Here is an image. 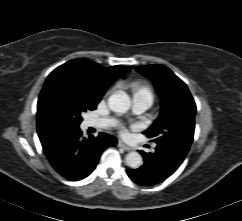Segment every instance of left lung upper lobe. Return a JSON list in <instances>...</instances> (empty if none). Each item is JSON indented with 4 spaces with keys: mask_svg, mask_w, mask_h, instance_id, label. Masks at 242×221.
Segmentation results:
<instances>
[{
    "mask_svg": "<svg viewBox=\"0 0 242 221\" xmlns=\"http://www.w3.org/2000/svg\"><path fill=\"white\" fill-rule=\"evenodd\" d=\"M149 78L161 99V113L144 132L157 144H172L188 151L194 136L196 105L187 85L163 65L134 67Z\"/></svg>",
    "mask_w": 242,
    "mask_h": 221,
    "instance_id": "obj_1",
    "label": "left lung upper lobe"
}]
</instances>
